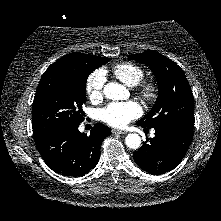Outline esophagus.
Instances as JSON below:
<instances>
[{
    "instance_id": "obj_1",
    "label": "esophagus",
    "mask_w": 221,
    "mask_h": 221,
    "mask_svg": "<svg viewBox=\"0 0 221 221\" xmlns=\"http://www.w3.org/2000/svg\"><path fill=\"white\" fill-rule=\"evenodd\" d=\"M112 133H114V134H126V131L119 130V129H113Z\"/></svg>"
}]
</instances>
